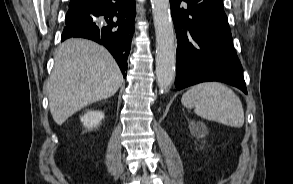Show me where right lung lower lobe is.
Segmentation results:
<instances>
[{"instance_id":"1","label":"right lung lower lobe","mask_w":293,"mask_h":184,"mask_svg":"<svg viewBox=\"0 0 293 184\" xmlns=\"http://www.w3.org/2000/svg\"><path fill=\"white\" fill-rule=\"evenodd\" d=\"M135 0H89L70 6L62 41L82 37L104 45L123 76L134 32Z\"/></svg>"}]
</instances>
